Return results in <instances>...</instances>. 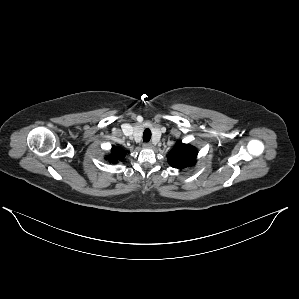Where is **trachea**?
<instances>
[{
	"instance_id": "1",
	"label": "trachea",
	"mask_w": 299,
	"mask_h": 299,
	"mask_svg": "<svg viewBox=\"0 0 299 299\" xmlns=\"http://www.w3.org/2000/svg\"><path fill=\"white\" fill-rule=\"evenodd\" d=\"M150 139H151V131H150V129L146 128L143 133V141L149 142Z\"/></svg>"
}]
</instances>
